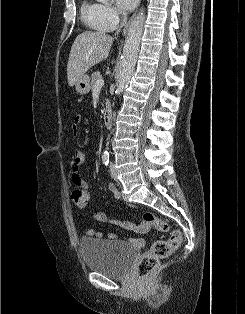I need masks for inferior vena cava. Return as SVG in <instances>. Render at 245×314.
Here are the masks:
<instances>
[{
  "mask_svg": "<svg viewBox=\"0 0 245 314\" xmlns=\"http://www.w3.org/2000/svg\"><path fill=\"white\" fill-rule=\"evenodd\" d=\"M124 22H126V14H123V23H124ZM119 31H120V30H118V31L116 32V34H118Z\"/></svg>",
  "mask_w": 245,
  "mask_h": 314,
  "instance_id": "inferior-vena-cava-1",
  "label": "inferior vena cava"
}]
</instances>
